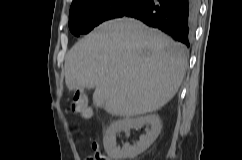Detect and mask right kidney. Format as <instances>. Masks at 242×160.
I'll use <instances>...</instances> for the list:
<instances>
[{
    "label": "right kidney",
    "mask_w": 242,
    "mask_h": 160,
    "mask_svg": "<svg viewBox=\"0 0 242 160\" xmlns=\"http://www.w3.org/2000/svg\"><path fill=\"white\" fill-rule=\"evenodd\" d=\"M150 125L151 130L140 137V141L131 146L125 143L122 148L116 145V134L124 129ZM162 129L160 118L156 114L141 116L137 118H124L112 123L103 138L106 153L114 160L133 159L144 152L158 137Z\"/></svg>",
    "instance_id": "1"
}]
</instances>
